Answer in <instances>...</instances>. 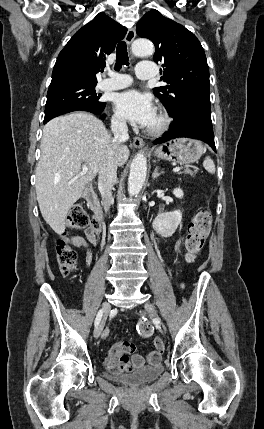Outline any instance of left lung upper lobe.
Returning a JSON list of instances; mask_svg holds the SVG:
<instances>
[{
    "label": "left lung upper lobe",
    "instance_id": "left-lung-upper-lobe-1",
    "mask_svg": "<svg viewBox=\"0 0 264 429\" xmlns=\"http://www.w3.org/2000/svg\"><path fill=\"white\" fill-rule=\"evenodd\" d=\"M137 34L155 45L154 60L162 64L161 81L168 85L156 87L153 92L169 115L179 116L187 102L210 103L206 56L192 32L152 9L137 23Z\"/></svg>",
    "mask_w": 264,
    "mask_h": 429
}]
</instances>
